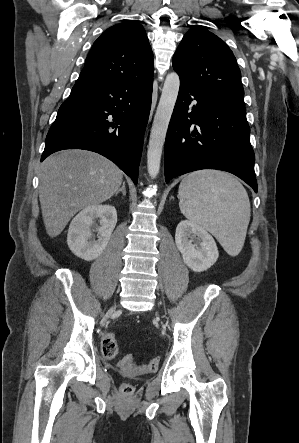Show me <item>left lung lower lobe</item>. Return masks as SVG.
I'll return each instance as SVG.
<instances>
[{
	"instance_id": "left-lung-lower-lobe-1",
	"label": "left lung lower lobe",
	"mask_w": 299,
	"mask_h": 443,
	"mask_svg": "<svg viewBox=\"0 0 299 443\" xmlns=\"http://www.w3.org/2000/svg\"><path fill=\"white\" fill-rule=\"evenodd\" d=\"M249 134L244 106L180 80L165 141V181L195 170L217 169L238 176L257 192Z\"/></svg>"
}]
</instances>
